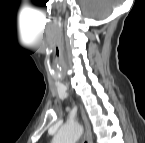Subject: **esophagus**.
Segmentation results:
<instances>
[{
	"mask_svg": "<svg viewBox=\"0 0 145 143\" xmlns=\"http://www.w3.org/2000/svg\"><path fill=\"white\" fill-rule=\"evenodd\" d=\"M80 112H81V116H82V120H83L84 128H85L84 137H85L87 143H93L92 142L91 126H90L88 118H87V116L85 114V111H84V109L82 107H80Z\"/></svg>",
	"mask_w": 145,
	"mask_h": 143,
	"instance_id": "esophagus-1",
	"label": "esophagus"
}]
</instances>
